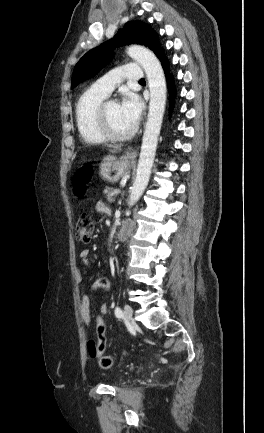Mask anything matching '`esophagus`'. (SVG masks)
Segmentation results:
<instances>
[{
	"label": "esophagus",
	"mask_w": 264,
	"mask_h": 433,
	"mask_svg": "<svg viewBox=\"0 0 264 433\" xmlns=\"http://www.w3.org/2000/svg\"><path fill=\"white\" fill-rule=\"evenodd\" d=\"M137 155V152L136 151H133L132 153H131V156L132 157H135Z\"/></svg>",
	"instance_id": "1"
}]
</instances>
